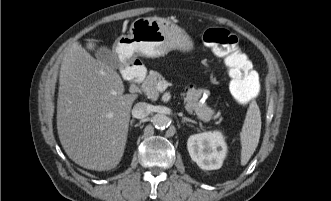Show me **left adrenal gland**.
<instances>
[{
    "mask_svg": "<svg viewBox=\"0 0 331 201\" xmlns=\"http://www.w3.org/2000/svg\"><path fill=\"white\" fill-rule=\"evenodd\" d=\"M186 122H191V123L197 124L196 121H194V120H192L190 118L182 117V123H186Z\"/></svg>",
    "mask_w": 331,
    "mask_h": 201,
    "instance_id": "1",
    "label": "left adrenal gland"
}]
</instances>
